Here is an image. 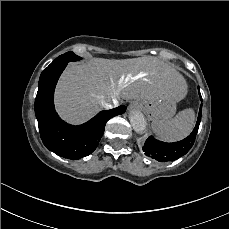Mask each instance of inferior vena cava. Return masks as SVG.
<instances>
[{
    "mask_svg": "<svg viewBox=\"0 0 229 229\" xmlns=\"http://www.w3.org/2000/svg\"><path fill=\"white\" fill-rule=\"evenodd\" d=\"M115 105H117V100L116 99H113V100H110V101H104L102 103V107H104L105 109H111Z\"/></svg>",
    "mask_w": 229,
    "mask_h": 229,
    "instance_id": "inferior-vena-cava-1",
    "label": "inferior vena cava"
}]
</instances>
